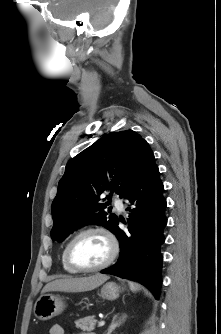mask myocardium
Returning a JSON list of instances; mask_svg holds the SVG:
<instances>
[{
	"mask_svg": "<svg viewBox=\"0 0 221 334\" xmlns=\"http://www.w3.org/2000/svg\"><path fill=\"white\" fill-rule=\"evenodd\" d=\"M90 232H98L103 234L110 243V254L108 258L102 262L101 264L93 267H80L77 266L71 258V248L74 244V242L82 235ZM119 252V242L115 234L107 227L101 226V225H92L87 226L81 230H79L74 236L69 240V242L66 245L65 248V260L67 265L72 268L76 272H95L102 269L107 268L109 265L113 263V261L116 259Z\"/></svg>",
	"mask_w": 221,
	"mask_h": 334,
	"instance_id": "myocardium-1",
	"label": "myocardium"
}]
</instances>
